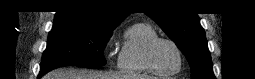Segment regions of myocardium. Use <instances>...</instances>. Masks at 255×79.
<instances>
[{
	"instance_id": "obj_1",
	"label": "myocardium",
	"mask_w": 255,
	"mask_h": 79,
	"mask_svg": "<svg viewBox=\"0 0 255 79\" xmlns=\"http://www.w3.org/2000/svg\"><path fill=\"white\" fill-rule=\"evenodd\" d=\"M161 42H165V43L172 45L174 47V49L176 50V52L179 56V65H178L177 69H175L173 71H164V70L160 69L154 63L153 51H154L155 47ZM145 62H146V65L148 66V68L155 74L174 75L182 70L183 65H184V56H183V52H182L181 48L175 41H173L172 39H169V38H165V37H156L153 40H151L146 46Z\"/></svg>"
}]
</instances>
